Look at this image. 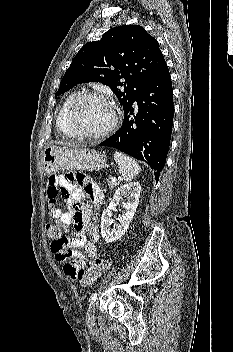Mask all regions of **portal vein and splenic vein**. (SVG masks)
I'll return each mask as SVG.
<instances>
[{
    "instance_id": "portal-vein-and-splenic-vein-1",
    "label": "portal vein and splenic vein",
    "mask_w": 233,
    "mask_h": 352,
    "mask_svg": "<svg viewBox=\"0 0 233 352\" xmlns=\"http://www.w3.org/2000/svg\"><path fill=\"white\" fill-rule=\"evenodd\" d=\"M111 181H112V182H116L117 179H116L115 177H112V178H111Z\"/></svg>"
}]
</instances>
